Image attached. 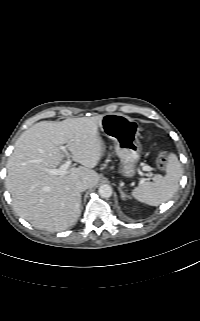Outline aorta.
<instances>
[{
	"label": "aorta",
	"mask_w": 200,
	"mask_h": 321,
	"mask_svg": "<svg viewBox=\"0 0 200 321\" xmlns=\"http://www.w3.org/2000/svg\"><path fill=\"white\" fill-rule=\"evenodd\" d=\"M98 192L102 198H109L112 195V187L108 184H103L99 187Z\"/></svg>",
	"instance_id": "762f6f07"
}]
</instances>
